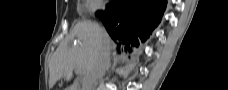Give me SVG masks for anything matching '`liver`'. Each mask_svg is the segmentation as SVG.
Returning a JSON list of instances; mask_svg holds the SVG:
<instances>
[{"label": "liver", "mask_w": 228, "mask_h": 90, "mask_svg": "<svg viewBox=\"0 0 228 90\" xmlns=\"http://www.w3.org/2000/svg\"><path fill=\"white\" fill-rule=\"evenodd\" d=\"M75 38L76 43L68 46V42ZM103 48L108 52L110 50L108 34L95 22L88 20L77 22L69 37L60 44L50 61V88L62 77L69 81L73 77V70L77 68L83 70L86 78Z\"/></svg>", "instance_id": "obj_1"}]
</instances>
